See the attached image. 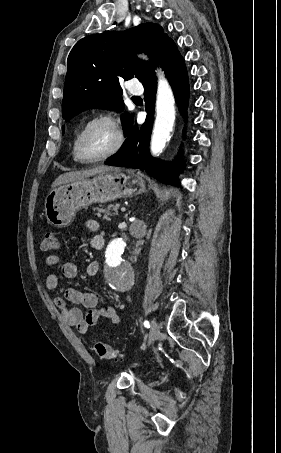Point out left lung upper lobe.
I'll list each match as a JSON object with an SVG mask.
<instances>
[{
  "mask_svg": "<svg viewBox=\"0 0 281 453\" xmlns=\"http://www.w3.org/2000/svg\"><path fill=\"white\" fill-rule=\"evenodd\" d=\"M171 40L154 23H143L124 32L89 35L79 40L67 60L63 118L68 121L90 108L122 111L124 102L119 79L136 77L142 82L153 71L151 65L140 61L133 53L145 52L153 64H158ZM121 117L127 136L133 127V117L128 113Z\"/></svg>",
  "mask_w": 281,
  "mask_h": 453,
  "instance_id": "5c2ea615",
  "label": "left lung upper lobe"
}]
</instances>
